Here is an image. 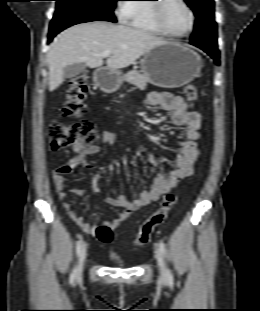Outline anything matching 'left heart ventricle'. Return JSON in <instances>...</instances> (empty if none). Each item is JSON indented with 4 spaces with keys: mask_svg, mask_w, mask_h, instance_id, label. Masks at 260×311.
<instances>
[{
    "mask_svg": "<svg viewBox=\"0 0 260 311\" xmlns=\"http://www.w3.org/2000/svg\"><path fill=\"white\" fill-rule=\"evenodd\" d=\"M163 20L167 29L176 34L186 32L190 26V15L179 0H166Z\"/></svg>",
    "mask_w": 260,
    "mask_h": 311,
    "instance_id": "1",
    "label": "left heart ventricle"
}]
</instances>
